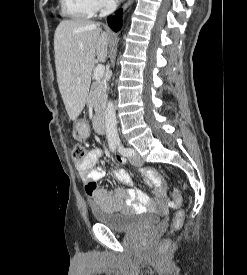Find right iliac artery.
Instances as JSON below:
<instances>
[{
  "mask_svg": "<svg viewBox=\"0 0 247 275\" xmlns=\"http://www.w3.org/2000/svg\"><path fill=\"white\" fill-rule=\"evenodd\" d=\"M109 147L111 149L112 152H115L116 150V142H110L109 143Z\"/></svg>",
  "mask_w": 247,
  "mask_h": 275,
  "instance_id": "obj_1",
  "label": "right iliac artery"
}]
</instances>
